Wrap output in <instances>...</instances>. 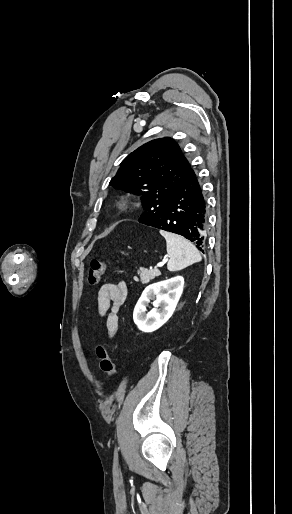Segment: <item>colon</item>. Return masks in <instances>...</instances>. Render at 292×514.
Returning <instances> with one entry per match:
<instances>
[{
    "instance_id": "5ec220e1",
    "label": "colon",
    "mask_w": 292,
    "mask_h": 514,
    "mask_svg": "<svg viewBox=\"0 0 292 514\" xmlns=\"http://www.w3.org/2000/svg\"><path fill=\"white\" fill-rule=\"evenodd\" d=\"M108 261L104 258L93 259L87 270V279L91 286L99 283L101 277L108 268ZM97 358L99 360L100 369L111 379L117 377V368L110 354L108 344L100 343L96 348Z\"/></svg>"
}]
</instances>
